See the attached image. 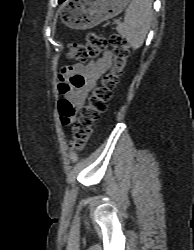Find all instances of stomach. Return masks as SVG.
<instances>
[{
	"label": "stomach",
	"instance_id": "1",
	"mask_svg": "<svg viewBox=\"0 0 194 250\" xmlns=\"http://www.w3.org/2000/svg\"><path fill=\"white\" fill-rule=\"evenodd\" d=\"M130 0H67L63 23L73 29L92 28L121 13Z\"/></svg>",
	"mask_w": 194,
	"mask_h": 250
}]
</instances>
